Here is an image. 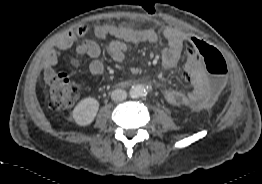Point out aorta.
Here are the masks:
<instances>
[{
    "label": "aorta",
    "instance_id": "aorta-1",
    "mask_svg": "<svg viewBox=\"0 0 262 184\" xmlns=\"http://www.w3.org/2000/svg\"><path fill=\"white\" fill-rule=\"evenodd\" d=\"M146 94V88L142 84L135 85L130 90V96L133 98L141 97Z\"/></svg>",
    "mask_w": 262,
    "mask_h": 184
}]
</instances>
